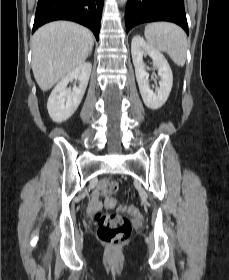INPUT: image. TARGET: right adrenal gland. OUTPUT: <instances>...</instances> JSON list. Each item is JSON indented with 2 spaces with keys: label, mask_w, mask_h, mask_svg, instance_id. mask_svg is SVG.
I'll list each match as a JSON object with an SVG mask.
<instances>
[{
  "label": "right adrenal gland",
  "mask_w": 229,
  "mask_h": 280,
  "mask_svg": "<svg viewBox=\"0 0 229 280\" xmlns=\"http://www.w3.org/2000/svg\"><path fill=\"white\" fill-rule=\"evenodd\" d=\"M91 53H92V50L89 52V55H91Z\"/></svg>",
  "instance_id": "2a0ac1e0"
}]
</instances>
